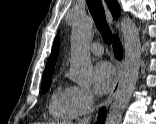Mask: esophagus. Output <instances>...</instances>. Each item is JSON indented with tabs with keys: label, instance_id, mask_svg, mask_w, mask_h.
I'll use <instances>...</instances> for the list:
<instances>
[{
	"label": "esophagus",
	"instance_id": "esophagus-1",
	"mask_svg": "<svg viewBox=\"0 0 156 124\" xmlns=\"http://www.w3.org/2000/svg\"><path fill=\"white\" fill-rule=\"evenodd\" d=\"M103 5H104V8H105V12H106V19H107L109 25L111 26L113 24L112 14H111L109 8L107 7L105 1H103ZM115 68H116L115 81H114V84L112 86L111 92H110L109 96L107 97V99H106V101L104 103L105 107H108L112 103V101H113V99H114V97H115V95H116V93H117V91H118V89L120 87V82H121V79H122V76H123V70H124L123 61L117 59L115 61Z\"/></svg>",
	"mask_w": 156,
	"mask_h": 124
}]
</instances>
